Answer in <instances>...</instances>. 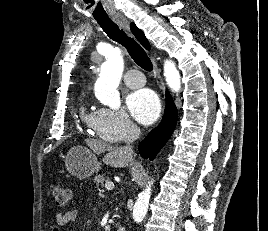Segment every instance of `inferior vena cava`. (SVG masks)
Wrapping results in <instances>:
<instances>
[{"mask_svg": "<svg viewBox=\"0 0 268 231\" xmlns=\"http://www.w3.org/2000/svg\"><path fill=\"white\" fill-rule=\"evenodd\" d=\"M131 133H132V137L137 138V137H139V135H140V129H139L137 126H133V127L131 128ZM124 149H125V152H127L128 155L132 157L133 150H132V146L130 145V143H128V144L125 146Z\"/></svg>", "mask_w": 268, "mask_h": 231, "instance_id": "obj_1", "label": "inferior vena cava"}]
</instances>
